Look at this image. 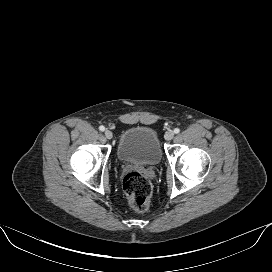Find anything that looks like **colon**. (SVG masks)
<instances>
[{"instance_id":"1","label":"colon","mask_w":272,"mask_h":272,"mask_svg":"<svg viewBox=\"0 0 272 272\" xmlns=\"http://www.w3.org/2000/svg\"><path fill=\"white\" fill-rule=\"evenodd\" d=\"M123 191L128 203L137 211L149 208L152 185L149 179L138 171L126 174L122 181Z\"/></svg>"}]
</instances>
